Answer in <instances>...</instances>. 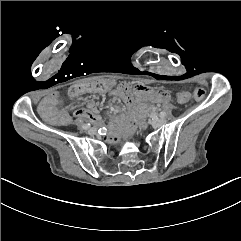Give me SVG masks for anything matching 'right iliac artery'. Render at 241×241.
<instances>
[{
  "mask_svg": "<svg viewBox=\"0 0 241 241\" xmlns=\"http://www.w3.org/2000/svg\"><path fill=\"white\" fill-rule=\"evenodd\" d=\"M82 127H83V129H88V128H90V124H89V123H88V124H85V125H83Z\"/></svg>",
  "mask_w": 241,
  "mask_h": 241,
  "instance_id": "right-iliac-artery-1",
  "label": "right iliac artery"
}]
</instances>
